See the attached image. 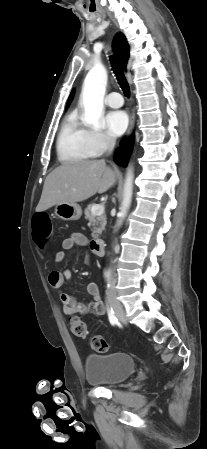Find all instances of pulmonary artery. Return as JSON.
Instances as JSON below:
<instances>
[{"label": "pulmonary artery", "instance_id": "pulmonary-artery-1", "mask_svg": "<svg viewBox=\"0 0 207 449\" xmlns=\"http://www.w3.org/2000/svg\"><path fill=\"white\" fill-rule=\"evenodd\" d=\"M105 103L112 107V108H118L121 107L124 103L123 97L118 92H111L106 98Z\"/></svg>", "mask_w": 207, "mask_h": 449}]
</instances>
